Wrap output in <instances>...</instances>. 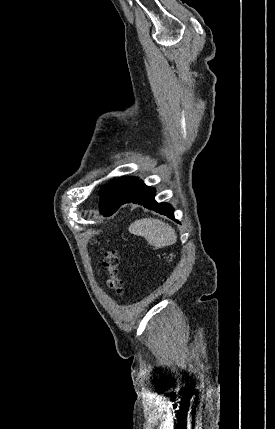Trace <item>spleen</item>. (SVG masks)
I'll list each match as a JSON object with an SVG mask.
<instances>
[{
    "mask_svg": "<svg viewBox=\"0 0 275 429\" xmlns=\"http://www.w3.org/2000/svg\"><path fill=\"white\" fill-rule=\"evenodd\" d=\"M129 232L144 237L154 247L172 245L177 240L175 230L167 223L159 219L143 218L133 222Z\"/></svg>",
    "mask_w": 275,
    "mask_h": 429,
    "instance_id": "obj_1",
    "label": "spleen"
}]
</instances>
